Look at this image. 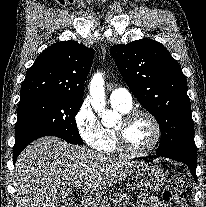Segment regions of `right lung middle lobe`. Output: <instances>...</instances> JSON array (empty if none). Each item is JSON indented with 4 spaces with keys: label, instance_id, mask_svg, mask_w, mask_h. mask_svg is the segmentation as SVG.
Returning <instances> with one entry per match:
<instances>
[{
    "label": "right lung middle lobe",
    "instance_id": "obj_1",
    "mask_svg": "<svg viewBox=\"0 0 206 207\" xmlns=\"http://www.w3.org/2000/svg\"><path fill=\"white\" fill-rule=\"evenodd\" d=\"M82 103L83 100L56 96H36L20 100L13 150H18L37 138L49 135L82 145L83 141L75 121Z\"/></svg>",
    "mask_w": 206,
    "mask_h": 207
}]
</instances>
